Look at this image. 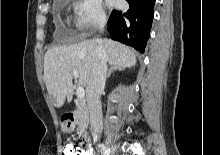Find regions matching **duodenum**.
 Returning <instances> with one entry per match:
<instances>
[{
  "label": "duodenum",
  "mask_w": 220,
  "mask_h": 155,
  "mask_svg": "<svg viewBox=\"0 0 220 155\" xmlns=\"http://www.w3.org/2000/svg\"><path fill=\"white\" fill-rule=\"evenodd\" d=\"M64 120L65 122L71 123L74 120V112L70 111L67 112L64 115ZM84 139L87 141V144L85 146V152L87 153V155H92V149L89 143V138L88 137H84Z\"/></svg>",
  "instance_id": "410a0bca"
}]
</instances>
